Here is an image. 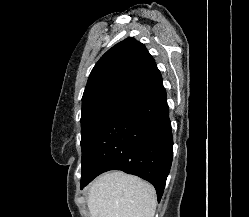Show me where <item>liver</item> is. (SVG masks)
Returning <instances> with one entry per match:
<instances>
[{
	"instance_id": "1",
	"label": "liver",
	"mask_w": 249,
	"mask_h": 217,
	"mask_svg": "<svg viewBox=\"0 0 249 217\" xmlns=\"http://www.w3.org/2000/svg\"><path fill=\"white\" fill-rule=\"evenodd\" d=\"M156 191L142 179L115 171L98 177L90 186V217H154Z\"/></svg>"
}]
</instances>
